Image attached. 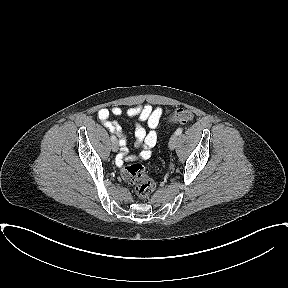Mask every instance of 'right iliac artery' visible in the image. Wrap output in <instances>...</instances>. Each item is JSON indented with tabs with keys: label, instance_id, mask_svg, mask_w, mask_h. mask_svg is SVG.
Listing matches in <instances>:
<instances>
[{
	"label": "right iliac artery",
	"instance_id": "right-iliac-artery-1",
	"mask_svg": "<svg viewBox=\"0 0 288 288\" xmlns=\"http://www.w3.org/2000/svg\"><path fill=\"white\" fill-rule=\"evenodd\" d=\"M111 140H112V141H115V140H116V137H115L114 135H112V136H111Z\"/></svg>",
	"mask_w": 288,
	"mask_h": 288
}]
</instances>
